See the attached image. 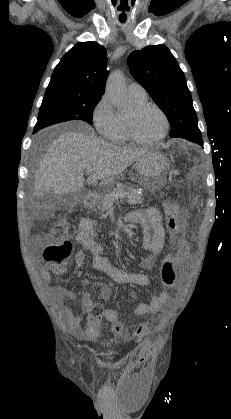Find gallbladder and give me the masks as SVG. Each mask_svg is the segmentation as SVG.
<instances>
[{
  "instance_id": "1",
  "label": "gallbladder",
  "mask_w": 231,
  "mask_h": 419,
  "mask_svg": "<svg viewBox=\"0 0 231 419\" xmlns=\"http://www.w3.org/2000/svg\"><path fill=\"white\" fill-rule=\"evenodd\" d=\"M71 195H64L60 196L53 192L46 193L42 196L40 201L38 202V205L41 207H44L47 209L48 213H51L53 211L54 207H59L65 203V201L70 197Z\"/></svg>"
}]
</instances>
